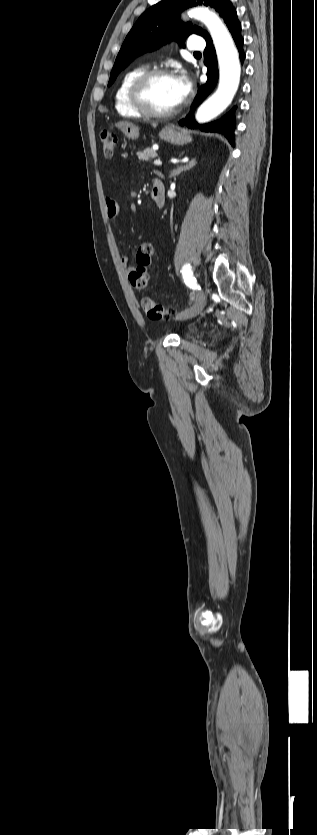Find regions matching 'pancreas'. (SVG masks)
I'll use <instances>...</instances> for the list:
<instances>
[{
    "mask_svg": "<svg viewBox=\"0 0 317 835\" xmlns=\"http://www.w3.org/2000/svg\"><path fill=\"white\" fill-rule=\"evenodd\" d=\"M137 156H138L139 160L149 161L151 158H156L157 153H156L155 150H153L151 148H147L143 152H137Z\"/></svg>",
    "mask_w": 317,
    "mask_h": 835,
    "instance_id": "pancreas-1",
    "label": "pancreas"
}]
</instances>
